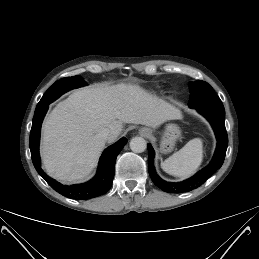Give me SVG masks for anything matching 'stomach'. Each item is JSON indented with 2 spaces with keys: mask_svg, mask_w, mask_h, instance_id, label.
Listing matches in <instances>:
<instances>
[{
  "mask_svg": "<svg viewBox=\"0 0 259 259\" xmlns=\"http://www.w3.org/2000/svg\"><path fill=\"white\" fill-rule=\"evenodd\" d=\"M180 137V128L176 124H168L160 141V152L164 154L171 152Z\"/></svg>",
  "mask_w": 259,
  "mask_h": 259,
  "instance_id": "0dacf381",
  "label": "stomach"
}]
</instances>
